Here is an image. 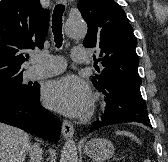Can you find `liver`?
<instances>
[{
    "label": "liver",
    "mask_w": 168,
    "mask_h": 162,
    "mask_svg": "<svg viewBox=\"0 0 168 162\" xmlns=\"http://www.w3.org/2000/svg\"><path fill=\"white\" fill-rule=\"evenodd\" d=\"M31 146L26 132L0 123V162H25Z\"/></svg>",
    "instance_id": "obj_1"
}]
</instances>
